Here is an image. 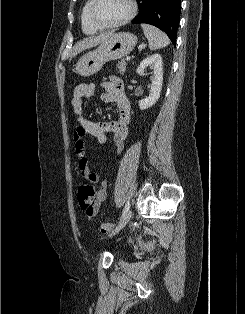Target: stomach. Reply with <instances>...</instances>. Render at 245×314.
<instances>
[{
  "label": "stomach",
  "instance_id": "stomach-1",
  "mask_svg": "<svg viewBox=\"0 0 245 314\" xmlns=\"http://www.w3.org/2000/svg\"><path fill=\"white\" fill-rule=\"evenodd\" d=\"M136 43L137 37L133 33H113L97 49L88 52L79 59L76 72L85 77L94 75L101 70L106 62L121 59L128 55Z\"/></svg>",
  "mask_w": 245,
  "mask_h": 314
}]
</instances>
